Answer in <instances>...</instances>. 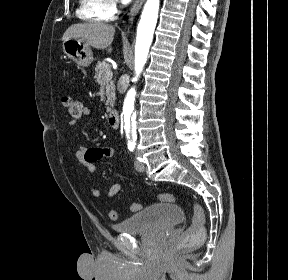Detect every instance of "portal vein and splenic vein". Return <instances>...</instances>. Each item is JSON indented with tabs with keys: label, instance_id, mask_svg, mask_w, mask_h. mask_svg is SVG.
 Masks as SVG:
<instances>
[{
	"label": "portal vein and splenic vein",
	"instance_id": "portal-vein-and-splenic-vein-1",
	"mask_svg": "<svg viewBox=\"0 0 288 280\" xmlns=\"http://www.w3.org/2000/svg\"><path fill=\"white\" fill-rule=\"evenodd\" d=\"M112 76H113V73L111 70L106 72V79L112 78Z\"/></svg>",
	"mask_w": 288,
	"mask_h": 280
}]
</instances>
